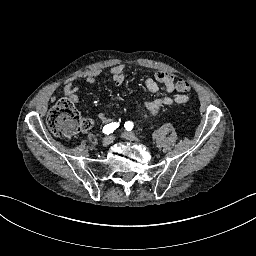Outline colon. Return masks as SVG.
<instances>
[{
  "instance_id": "1",
  "label": "colon",
  "mask_w": 256,
  "mask_h": 256,
  "mask_svg": "<svg viewBox=\"0 0 256 256\" xmlns=\"http://www.w3.org/2000/svg\"><path fill=\"white\" fill-rule=\"evenodd\" d=\"M177 88L182 92L190 90L188 81L180 79ZM47 124L51 131L57 136L72 137L80 130H86L90 127V121L82 118L75 105L69 99L60 100L50 111Z\"/></svg>"
}]
</instances>
